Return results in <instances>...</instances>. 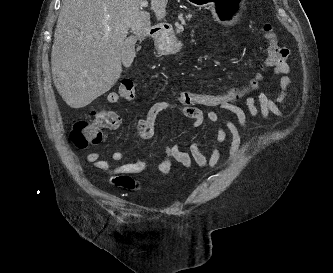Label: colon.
Here are the masks:
<instances>
[{"instance_id":"1","label":"colon","mask_w":333,"mask_h":273,"mask_svg":"<svg viewBox=\"0 0 333 273\" xmlns=\"http://www.w3.org/2000/svg\"><path fill=\"white\" fill-rule=\"evenodd\" d=\"M263 33L268 43V48L261 65L262 70L256 73L247 86L221 94L184 91L178 95L177 102L187 107L226 108L238 104L247 94L256 90L264 78L263 70L273 67L282 52V47L277 42V37L271 24L266 23L263 26ZM118 92L126 98H132L134 95L133 81L124 79ZM114 122L115 118L108 113L96 112L92 119L80 120L74 125L71 139L78 148L97 144L102 139V129Z\"/></svg>"}]
</instances>
